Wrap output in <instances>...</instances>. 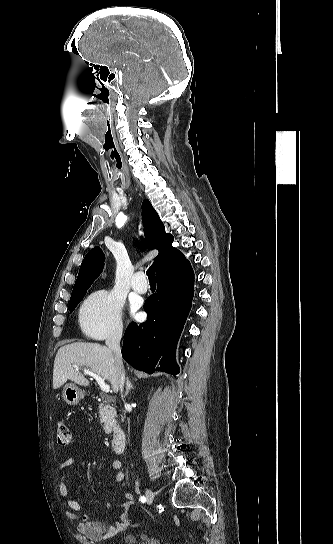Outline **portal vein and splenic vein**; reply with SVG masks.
Segmentation results:
<instances>
[{
    "instance_id": "1",
    "label": "portal vein and splenic vein",
    "mask_w": 333,
    "mask_h": 544,
    "mask_svg": "<svg viewBox=\"0 0 333 544\" xmlns=\"http://www.w3.org/2000/svg\"><path fill=\"white\" fill-rule=\"evenodd\" d=\"M73 367L75 369H78L77 365H73ZM84 373L89 375V376H92L97 381V383L99 384V386H100V388H101V390L103 392H105V393L110 392V386L105 384L104 379L101 376H99L98 374L92 372L89 369H84Z\"/></svg>"
}]
</instances>
